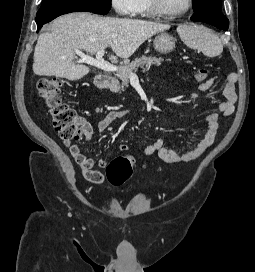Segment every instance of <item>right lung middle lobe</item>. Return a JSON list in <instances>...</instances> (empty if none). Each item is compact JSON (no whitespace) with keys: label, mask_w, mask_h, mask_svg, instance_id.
I'll return each mask as SVG.
<instances>
[{"label":"right lung middle lobe","mask_w":255,"mask_h":272,"mask_svg":"<svg viewBox=\"0 0 255 272\" xmlns=\"http://www.w3.org/2000/svg\"><path fill=\"white\" fill-rule=\"evenodd\" d=\"M41 7H71L105 15L111 9V0H43Z\"/></svg>","instance_id":"right-lung-middle-lobe-1"}]
</instances>
